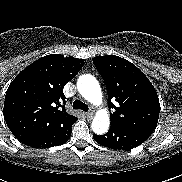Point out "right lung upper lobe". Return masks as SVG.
Instances as JSON below:
<instances>
[{
  "label": "right lung upper lobe",
  "mask_w": 182,
  "mask_h": 182,
  "mask_svg": "<svg viewBox=\"0 0 182 182\" xmlns=\"http://www.w3.org/2000/svg\"><path fill=\"white\" fill-rule=\"evenodd\" d=\"M84 65L82 59L60 54L39 58L9 85L4 101V119L22 143L51 135L75 123L65 110L63 88Z\"/></svg>",
  "instance_id": "cb5924a9"
}]
</instances>
